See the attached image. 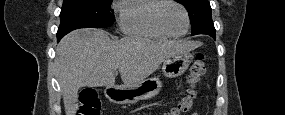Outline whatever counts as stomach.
<instances>
[{
  "mask_svg": "<svg viewBox=\"0 0 285 115\" xmlns=\"http://www.w3.org/2000/svg\"><path fill=\"white\" fill-rule=\"evenodd\" d=\"M192 55L188 53L175 54L164 60L163 74L168 78L181 76L188 69ZM162 89L159 78H150L134 85L107 86L104 94L106 98L115 104H134L140 100H146L157 96Z\"/></svg>",
  "mask_w": 285,
  "mask_h": 115,
  "instance_id": "1",
  "label": "stomach"
}]
</instances>
